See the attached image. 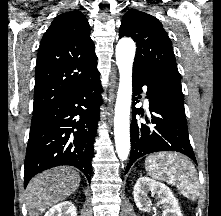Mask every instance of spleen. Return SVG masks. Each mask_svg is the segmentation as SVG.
Instances as JSON below:
<instances>
[{"instance_id": "spleen-1", "label": "spleen", "mask_w": 221, "mask_h": 216, "mask_svg": "<svg viewBox=\"0 0 221 216\" xmlns=\"http://www.w3.org/2000/svg\"><path fill=\"white\" fill-rule=\"evenodd\" d=\"M145 168L149 176L177 184L178 189L187 198H195L199 194V183L194 165L185 157L175 153H159L149 155L145 160Z\"/></svg>"}]
</instances>
